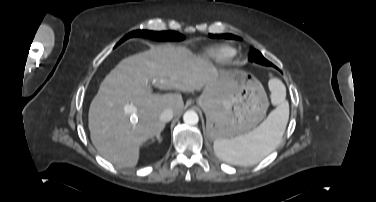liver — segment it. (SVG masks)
<instances>
[{
	"label": "liver",
	"instance_id": "liver-1",
	"mask_svg": "<svg viewBox=\"0 0 376 202\" xmlns=\"http://www.w3.org/2000/svg\"><path fill=\"white\" fill-rule=\"evenodd\" d=\"M219 71L186 47L160 45L121 60L104 78L88 114L93 145L119 167H134L140 146L160 134V115L171 109L180 115L181 94H153L152 86L183 92L200 91ZM132 105L135 110L127 111Z\"/></svg>",
	"mask_w": 376,
	"mask_h": 202
}]
</instances>
